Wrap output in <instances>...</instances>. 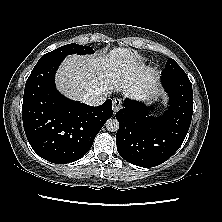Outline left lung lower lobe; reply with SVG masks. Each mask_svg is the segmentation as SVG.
Masks as SVG:
<instances>
[{
  "label": "left lung lower lobe",
  "instance_id": "obj_1",
  "mask_svg": "<svg viewBox=\"0 0 222 222\" xmlns=\"http://www.w3.org/2000/svg\"><path fill=\"white\" fill-rule=\"evenodd\" d=\"M170 96L169 107L160 117L148 114L141 102L125 99L116 113L119 130L117 150L122 158L140 167H154L168 160L182 145L193 114V91L188 76L162 75Z\"/></svg>",
  "mask_w": 222,
  "mask_h": 222
}]
</instances>
